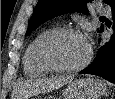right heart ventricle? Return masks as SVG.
I'll return each mask as SVG.
<instances>
[{"mask_svg":"<svg viewBox=\"0 0 115 99\" xmlns=\"http://www.w3.org/2000/svg\"><path fill=\"white\" fill-rule=\"evenodd\" d=\"M56 28H47L38 33L29 43L23 56V70L28 77H41L50 71L38 59L37 50L41 40Z\"/></svg>","mask_w":115,"mask_h":99,"instance_id":"right-heart-ventricle-1","label":"right heart ventricle"}]
</instances>
